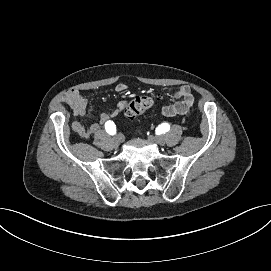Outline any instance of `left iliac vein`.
Segmentation results:
<instances>
[{
  "label": "left iliac vein",
  "instance_id": "left-iliac-vein-1",
  "mask_svg": "<svg viewBox=\"0 0 271 271\" xmlns=\"http://www.w3.org/2000/svg\"><path fill=\"white\" fill-rule=\"evenodd\" d=\"M148 140L151 142V143H156L158 145H161L163 146L166 141H165V137L164 136H157V135H151L149 136Z\"/></svg>",
  "mask_w": 271,
  "mask_h": 271
}]
</instances>
